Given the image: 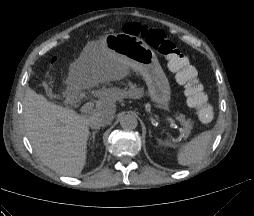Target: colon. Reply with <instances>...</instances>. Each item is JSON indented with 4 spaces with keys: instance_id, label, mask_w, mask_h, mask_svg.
Here are the masks:
<instances>
[{
    "instance_id": "colon-1",
    "label": "colon",
    "mask_w": 254,
    "mask_h": 216,
    "mask_svg": "<svg viewBox=\"0 0 254 216\" xmlns=\"http://www.w3.org/2000/svg\"><path fill=\"white\" fill-rule=\"evenodd\" d=\"M124 30L129 35L144 39L167 59L169 68L176 72L177 80L185 87L187 101L196 118L202 123L211 122L214 117L213 108L201 89L195 70L165 32L138 23H127Z\"/></svg>"
}]
</instances>
